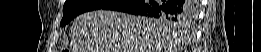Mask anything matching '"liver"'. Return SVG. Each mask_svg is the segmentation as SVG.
<instances>
[{
  "label": "liver",
  "instance_id": "1",
  "mask_svg": "<svg viewBox=\"0 0 261 52\" xmlns=\"http://www.w3.org/2000/svg\"><path fill=\"white\" fill-rule=\"evenodd\" d=\"M175 27L160 19L96 10L71 27L72 52H178Z\"/></svg>",
  "mask_w": 261,
  "mask_h": 52
}]
</instances>
